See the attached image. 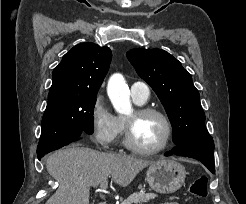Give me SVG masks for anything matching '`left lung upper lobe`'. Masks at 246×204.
Wrapping results in <instances>:
<instances>
[{"instance_id": "obj_1", "label": "left lung upper lobe", "mask_w": 246, "mask_h": 204, "mask_svg": "<svg viewBox=\"0 0 246 204\" xmlns=\"http://www.w3.org/2000/svg\"><path fill=\"white\" fill-rule=\"evenodd\" d=\"M126 55L162 102L173 126L176 145L208 133L199 92L190 73L177 59L161 49L136 48Z\"/></svg>"}]
</instances>
